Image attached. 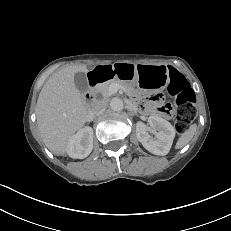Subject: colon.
<instances>
[{"label":"colon","mask_w":231,"mask_h":231,"mask_svg":"<svg viewBox=\"0 0 231 231\" xmlns=\"http://www.w3.org/2000/svg\"><path fill=\"white\" fill-rule=\"evenodd\" d=\"M169 93L174 96L175 103H163L159 97H153V106L162 113H174L175 128L178 133L183 134L187 131L190 123L196 116L195 102L196 95L191 89L185 77L174 71L171 75V82L169 85Z\"/></svg>","instance_id":"1"}]
</instances>
